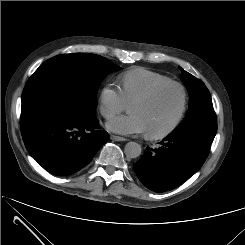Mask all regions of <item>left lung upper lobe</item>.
I'll return each mask as SVG.
<instances>
[{"label":"left lung upper lobe","instance_id":"left-lung-upper-lobe-1","mask_svg":"<svg viewBox=\"0 0 245 245\" xmlns=\"http://www.w3.org/2000/svg\"><path fill=\"white\" fill-rule=\"evenodd\" d=\"M182 77L190 95L189 111L170 135H194L212 143L217 132V118L210 92L201 80L183 69Z\"/></svg>","mask_w":245,"mask_h":245}]
</instances>
